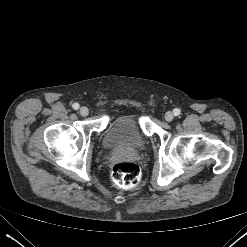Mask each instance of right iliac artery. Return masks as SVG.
<instances>
[{"label":"right iliac artery","instance_id":"82829eb1","mask_svg":"<svg viewBox=\"0 0 247 247\" xmlns=\"http://www.w3.org/2000/svg\"><path fill=\"white\" fill-rule=\"evenodd\" d=\"M72 107H73V109L78 110L79 109V104L78 103H74L72 105Z\"/></svg>","mask_w":247,"mask_h":247}]
</instances>
